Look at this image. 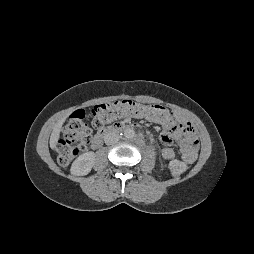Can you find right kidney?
<instances>
[{
	"label": "right kidney",
	"instance_id": "ca27d5eb",
	"mask_svg": "<svg viewBox=\"0 0 254 254\" xmlns=\"http://www.w3.org/2000/svg\"><path fill=\"white\" fill-rule=\"evenodd\" d=\"M95 154L94 152H86L81 154L71 166V173L77 176L87 175L94 164Z\"/></svg>",
	"mask_w": 254,
	"mask_h": 254
}]
</instances>
